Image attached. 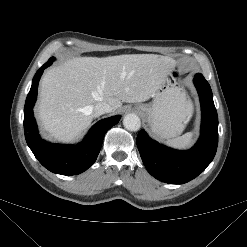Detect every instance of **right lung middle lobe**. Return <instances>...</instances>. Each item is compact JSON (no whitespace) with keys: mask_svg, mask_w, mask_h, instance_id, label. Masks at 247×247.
I'll use <instances>...</instances> for the list:
<instances>
[{"mask_svg":"<svg viewBox=\"0 0 247 247\" xmlns=\"http://www.w3.org/2000/svg\"><path fill=\"white\" fill-rule=\"evenodd\" d=\"M55 60V58L54 57H51L49 60H48V62H50V64H52V62Z\"/></svg>","mask_w":247,"mask_h":247,"instance_id":"1","label":"right lung middle lobe"}]
</instances>
